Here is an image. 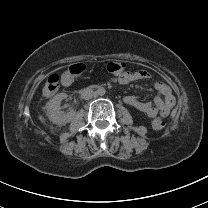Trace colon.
I'll list each match as a JSON object with an SVG mask.
<instances>
[{
  "label": "colon",
  "mask_w": 208,
  "mask_h": 208,
  "mask_svg": "<svg viewBox=\"0 0 208 208\" xmlns=\"http://www.w3.org/2000/svg\"><path fill=\"white\" fill-rule=\"evenodd\" d=\"M106 70L117 77L124 78L126 76V64L123 61H112L106 66ZM84 72V67L80 63H75L73 65L67 66L61 73L53 75L47 82L45 86L46 91H53L56 89L60 82H71L74 77L82 75ZM152 127L156 131H162L164 128V122L161 118L157 117L152 121Z\"/></svg>",
  "instance_id": "1"
}]
</instances>
